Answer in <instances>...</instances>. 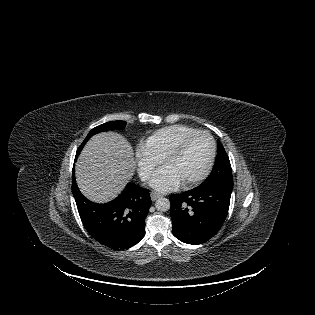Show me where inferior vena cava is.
<instances>
[{
  "instance_id": "1",
  "label": "inferior vena cava",
  "mask_w": 315,
  "mask_h": 315,
  "mask_svg": "<svg viewBox=\"0 0 315 315\" xmlns=\"http://www.w3.org/2000/svg\"><path fill=\"white\" fill-rule=\"evenodd\" d=\"M148 177H149V174H148V173H143V174H142V178H143V179L146 180Z\"/></svg>"
}]
</instances>
